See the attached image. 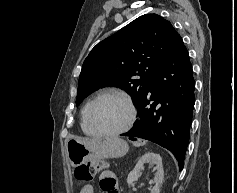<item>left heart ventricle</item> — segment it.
Listing matches in <instances>:
<instances>
[{
    "label": "left heart ventricle",
    "instance_id": "left-heart-ventricle-1",
    "mask_svg": "<svg viewBox=\"0 0 237 193\" xmlns=\"http://www.w3.org/2000/svg\"><path fill=\"white\" fill-rule=\"evenodd\" d=\"M129 111L125 104L114 97L101 98L93 107L92 120L103 131H114L125 126Z\"/></svg>",
    "mask_w": 237,
    "mask_h": 193
}]
</instances>
